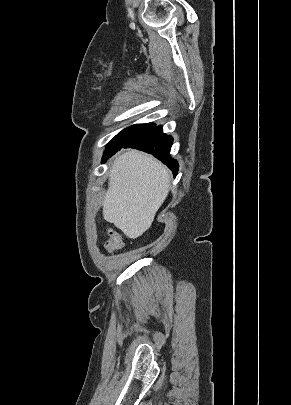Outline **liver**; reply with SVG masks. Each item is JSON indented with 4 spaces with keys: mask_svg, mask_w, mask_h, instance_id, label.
Returning <instances> with one entry per match:
<instances>
[{
    "mask_svg": "<svg viewBox=\"0 0 291 405\" xmlns=\"http://www.w3.org/2000/svg\"><path fill=\"white\" fill-rule=\"evenodd\" d=\"M170 188V172L152 156L137 150L119 155L110 170L103 217L129 238L147 231Z\"/></svg>",
    "mask_w": 291,
    "mask_h": 405,
    "instance_id": "6515ba94",
    "label": "liver"
}]
</instances>
